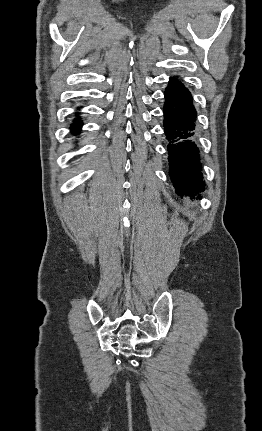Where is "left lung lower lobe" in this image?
Masks as SVG:
<instances>
[{
  "label": "left lung lower lobe",
  "mask_w": 262,
  "mask_h": 431,
  "mask_svg": "<svg viewBox=\"0 0 262 431\" xmlns=\"http://www.w3.org/2000/svg\"><path fill=\"white\" fill-rule=\"evenodd\" d=\"M163 112L171 182L176 194L195 196L205 186L195 136L197 113L191 93L177 79L171 78L166 88Z\"/></svg>",
  "instance_id": "left-lung-lower-lobe-1"
}]
</instances>
